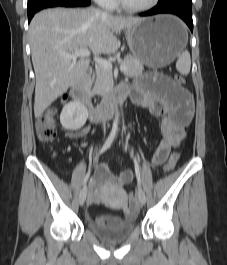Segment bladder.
<instances>
[{
  "instance_id": "obj_1",
  "label": "bladder",
  "mask_w": 227,
  "mask_h": 265,
  "mask_svg": "<svg viewBox=\"0 0 227 265\" xmlns=\"http://www.w3.org/2000/svg\"><path fill=\"white\" fill-rule=\"evenodd\" d=\"M88 228L100 240L108 243H116L127 239L134 232L135 218L125 217L114 223H102L96 220H89Z\"/></svg>"
}]
</instances>
